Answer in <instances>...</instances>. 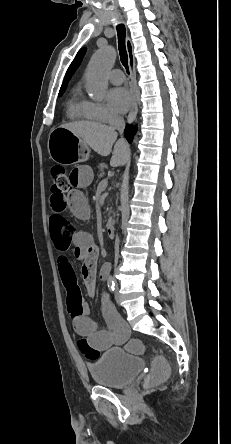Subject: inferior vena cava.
I'll list each match as a JSON object with an SVG mask.
<instances>
[{
    "label": "inferior vena cava",
    "instance_id": "inferior-vena-cava-1",
    "mask_svg": "<svg viewBox=\"0 0 231 444\" xmlns=\"http://www.w3.org/2000/svg\"><path fill=\"white\" fill-rule=\"evenodd\" d=\"M110 128L122 133L125 128V121H124L123 117L116 115V114L113 115L110 119ZM116 221L119 223L121 220L118 218ZM116 231L121 232L122 228L117 227ZM118 251H119V244H118V240H117L116 244H115L116 259L118 258Z\"/></svg>",
    "mask_w": 231,
    "mask_h": 444
}]
</instances>
